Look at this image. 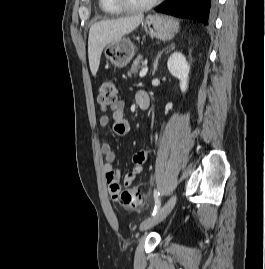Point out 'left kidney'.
<instances>
[{
	"label": "left kidney",
	"instance_id": "obj_1",
	"mask_svg": "<svg viewBox=\"0 0 265 269\" xmlns=\"http://www.w3.org/2000/svg\"><path fill=\"white\" fill-rule=\"evenodd\" d=\"M169 72L180 80V89L184 93L188 88L190 65L185 56L180 52H174L168 59Z\"/></svg>",
	"mask_w": 265,
	"mask_h": 269
}]
</instances>
